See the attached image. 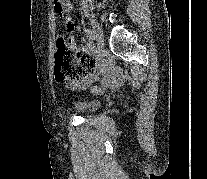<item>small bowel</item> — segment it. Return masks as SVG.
Listing matches in <instances>:
<instances>
[{
    "label": "small bowel",
    "instance_id": "obj_1",
    "mask_svg": "<svg viewBox=\"0 0 207 179\" xmlns=\"http://www.w3.org/2000/svg\"><path fill=\"white\" fill-rule=\"evenodd\" d=\"M64 25L71 30L74 28L72 21H70V23L65 21ZM71 43H72V47L75 48L76 43L73 38L71 39ZM85 51L87 53H91L90 48H86ZM92 67H93L92 72L87 77V79L82 84L74 85V86L77 87L88 86L89 84L98 80L97 74H100L101 78L99 79L100 86L93 88V91L95 93H101L106 88H116L123 82L121 72L118 69L112 67L109 61L104 57L97 56L95 58H92Z\"/></svg>",
    "mask_w": 207,
    "mask_h": 179
}]
</instances>
